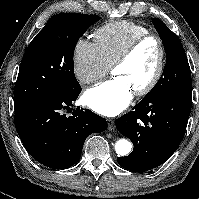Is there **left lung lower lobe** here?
Here are the masks:
<instances>
[{
	"label": "left lung lower lobe",
	"instance_id": "1",
	"mask_svg": "<svg viewBox=\"0 0 199 199\" xmlns=\"http://www.w3.org/2000/svg\"><path fill=\"white\" fill-rule=\"evenodd\" d=\"M192 106L191 92H174L162 98L140 101L116 120V128L134 149L117 162L123 168L144 172L163 164L178 148Z\"/></svg>",
	"mask_w": 199,
	"mask_h": 199
}]
</instances>
